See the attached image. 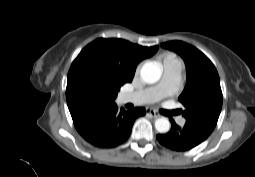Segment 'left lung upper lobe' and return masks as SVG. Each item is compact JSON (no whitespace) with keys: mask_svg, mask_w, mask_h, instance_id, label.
<instances>
[{"mask_svg":"<svg viewBox=\"0 0 255 177\" xmlns=\"http://www.w3.org/2000/svg\"><path fill=\"white\" fill-rule=\"evenodd\" d=\"M161 46L179 54L186 64L187 84L178 98L185 108L186 125L210 135L223 100L215 66L201 51L182 41H169Z\"/></svg>","mask_w":255,"mask_h":177,"instance_id":"left-lung-upper-lobe-1","label":"left lung upper lobe"}]
</instances>
